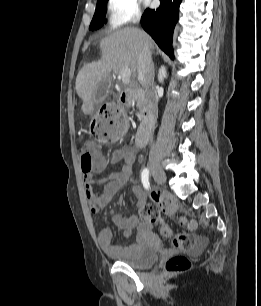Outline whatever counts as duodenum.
<instances>
[{
	"label": "duodenum",
	"mask_w": 261,
	"mask_h": 306,
	"mask_svg": "<svg viewBox=\"0 0 261 306\" xmlns=\"http://www.w3.org/2000/svg\"><path fill=\"white\" fill-rule=\"evenodd\" d=\"M119 98L121 103L123 104H127L131 100L145 101V93L139 88L131 87L125 89L120 94ZM153 127H154V108L150 103H148L145 116L136 134L135 142L138 147H142L146 143Z\"/></svg>",
	"instance_id": "duodenum-1"
}]
</instances>
